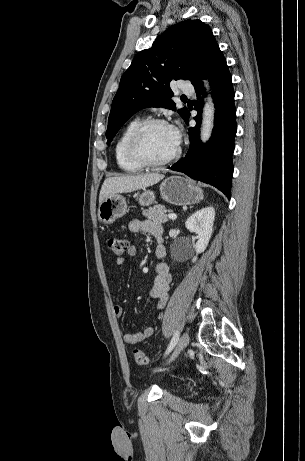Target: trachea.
<instances>
[{"label": "trachea", "instance_id": "obj_1", "mask_svg": "<svg viewBox=\"0 0 305 461\" xmlns=\"http://www.w3.org/2000/svg\"><path fill=\"white\" fill-rule=\"evenodd\" d=\"M185 99H186V96L183 95V96L181 97V100H185Z\"/></svg>", "mask_w": 305, "mask_h": 461}]
</instances>
